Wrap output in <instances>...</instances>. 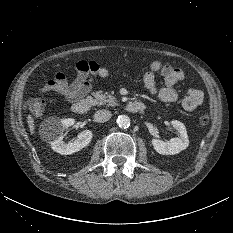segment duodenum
<instances>
[{"instance_id": "obj_1", "label": "duodenum", "mask_w": 233, "mask_h": 233, "mask_svg": "<svg viewBox=\"0 0 233 233\" xmlns=\"http://www.w3.org/2000/svg\"><path fill=\"white\" fill-rule=\"evenodd\" d=\"M92 105L91 99H78L72 105V111L75 114H86ZM126 109L131 113H142L145 110V105L140 101H132L126 105Z\"/></svg>"}]
</instances>
